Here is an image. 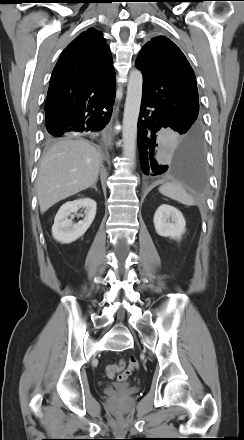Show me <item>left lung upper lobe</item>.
<instances>
[{
	"label": "left lung upper lobe",
	"mask_w": 244,
	"mask_h": 440,
	"mask_svg": "<svg viewBox=\"0 0 244 440\" xmlns=\"http://www.w3.org/2000/svg\"><path fill=\"white\" fill-rule=\"evenodd\" d=\"M135 64L143 73L142 98L186 134L201 133L196 78L182 51L167 37L157 36L143 46Z\"/></svg>",
	"instance_id": "obj_1"
}]
</instances>
